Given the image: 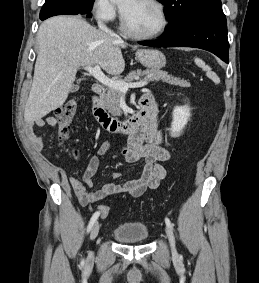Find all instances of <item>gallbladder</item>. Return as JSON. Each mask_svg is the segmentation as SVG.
I'll return each mask as SVG.
<instances>
[{"instance_id": "bac80fb5", "label": "gallbladder", "mask_w": 259, "mask_h": 283, "mask_svg": "<svg viewBox=\"0 0 259 283\" xmlns=\"http://www.w3.org/2000/svg\"><path fill=\"white\" fill-rule=\"evenodd\" d=\"M78 90H79V84H75L70 89V92L74 93V92H77Z\"/></svg>"}]
</instances>
